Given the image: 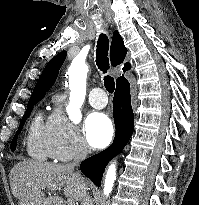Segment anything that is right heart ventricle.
Wrapping results in <instances>:
<instances>
[{"label": "right heart ventricle", "mask_w": 199, "mask_h": 205, "mask_svg": "<svg viewBox=\"0 0 199 205\" xmlns=\"http://www.w3.org/2000/svg\"><path fill=\"white\" fill-rule=\"evenodd\" d=\"M27 153L34 159L45 161L51 157L47 123L41 114L33 119L26 140Z\"/></svg>", "instance_id": "1"}]
</instances>
